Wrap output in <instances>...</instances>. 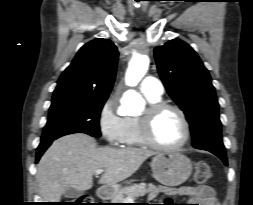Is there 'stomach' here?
Wrapping results in <instances>:
<instances>
[{"mask_svg":"<svg viewBox=\"0 0 253 205\" xmlns=\"http://www.w3.org/2000/svg\"><path fill=\"white\" fill-rule=\"evenodd\" d=\"M154 178L168 187H175L184 183L192 173V162L179 152L156 154L151 162ZM120 185L109 186L108 194L113 196L120 190Z\"/></svg>","mask_w":253,"mask_h":205,"instance_id":"obj_1","label":"stomach"}]
</instances>
